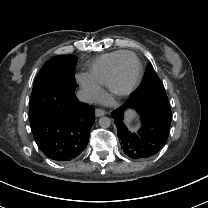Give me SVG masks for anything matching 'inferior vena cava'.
I'll use <instances>...</instances> for the list:
<instances>
[{
  "mask_svg": "<svg viewBox=\"0 0 208 208\" xmlns=\"http://www.w3.org/2000/svg\"><path fill=\"white\" fill-rule=\"evenodd\" d=\"M77 97L80 101L85 102V103H92L93 102V95L90 91L79 90L77 92Z\"/></svg>",
  "mask_w": 208,
  "mask_h": 208,
  "instance_id": "602c4592",
  "label": "inferior vena cava"
}]
</instances>
